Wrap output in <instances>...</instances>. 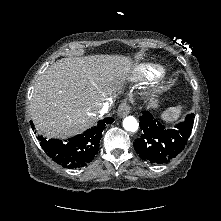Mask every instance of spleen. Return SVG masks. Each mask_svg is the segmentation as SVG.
Masks as SVG:
<instances>
[{"instance_id":"spleen-1","label":"spleen","mask_w":221,"mask_h":221,"mask_svg":"<svg viewBox=\"0 0 221 221\" xmlns=\"http://www.w3.org/2000/svg\"><path fill=\"white\" fill-rule=\"evenodd\" d=\"M181 111H182L181 106L170 107L162 113L161 118L165 121H175L179 118Z\"/></svg>"}]
</instances>
